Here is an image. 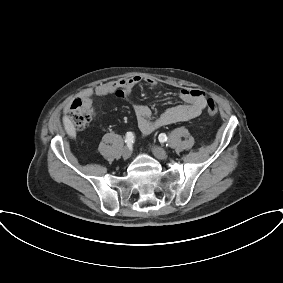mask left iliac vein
Instances as JSON below:
<instances>
[{
    "instance_id": "obj_1",
    "label": "left iliac vein",
    "mask_w": 283,
    "mask_h": 283,
    "mask_svg": "<svg viewBox=\"0 0 283 283\" xmlns=\"http://www.w3.org/2000/svg\"><path fill=\"white\" fill-rule=\"evenodd\" d=\"M151 149L154 156L160 160H164L168 157L167 152L159 146H152Z\"/></svg>"
}]
</instances>
